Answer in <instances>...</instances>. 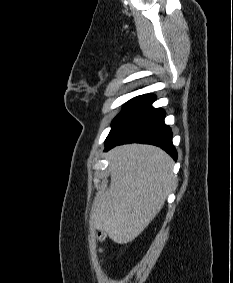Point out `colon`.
Returning a JSON list of instances; mask_svg holds the SVG:
<instances>
[{
	"instance_id": "colon-1",
	"label": "colon",
	"mask_w": 233,
	"mask_h": 283,
	"mask_svg": "<svg viewBox=\"0 0 233 283\" xmlns=\"http://www.w3.org/2000/svg\"><path fill=\"white\" fill-rule=\"evenodd\" d=\"M98 239H99L101 242H103V241L106 239L105 234L99 233V234H98Z\"/></svg>"
}]
</instances>
